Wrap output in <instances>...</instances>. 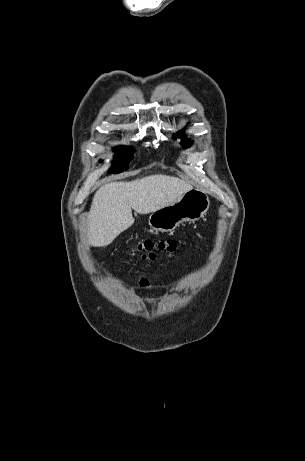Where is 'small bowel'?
<instances>
[{"instance_id":"1","label":"small bowel","mask_w":305,"mask_h":461,"mask_svg":"<svg viewBox=\"0 0 305 461\" xmlns=\"http://www.w3.org/2000/svg\"><path fill=\"white\" fill-rule=\"evenodd\" d=\"M138 288L140 290H149L151 287L150 281L144 275H138Z\"/></svg>"}]
</instances>
